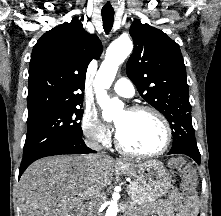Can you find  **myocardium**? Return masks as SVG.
Returning a JSON list of instances; mask_svg holds the SVG:
<instances>
[{"mask_svg": "<svg viewBox=\"0 0 221 216\" xmlns=\"http://www.w3.org/2000/svg\"><path fill=\"white\" fill-rule=\"evenodd\" d=\"M128 112L132 114L150 113L154 115L160 121V123L162 124L164 128V132H165L164 143L162 147L156 151L147 152V153L138 152V151H134L124 146L119 139L118 133H116L115 143H116L117 149L128 156L141 157V158H152V157L159 156L163 154L164 152H166L172 143V129L166 117L159 110L148 105H136L130 108Z\"/></svg>", "mask_w": 221, "mask_h": 216, "instance_id": "f54148a6", "label": "myocardium"}]
</instances>
